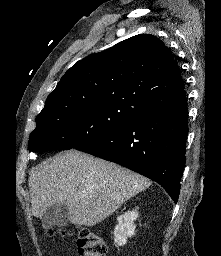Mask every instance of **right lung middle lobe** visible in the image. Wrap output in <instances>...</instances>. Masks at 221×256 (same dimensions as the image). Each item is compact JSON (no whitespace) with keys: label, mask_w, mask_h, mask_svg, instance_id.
I'll return each mask as SVG.
<instances>
[{"label":"right lung middle lobe","mask_w":221,"mask_h":256,"mask_svg":"<svg viewBox=\"0 0 221 256\" xmlns=\"http://www.w3.org/2000/svg\"><path fill=\"white\" fill-rule=\"evenodd\" d=\"M131 110L97 104L40 114L30 134L28 148L33 152L68 150L85 145L134 118Z\"/></svg>","instance_id":"obj_1"}]
</instances>
